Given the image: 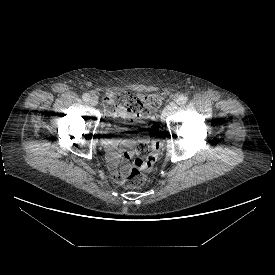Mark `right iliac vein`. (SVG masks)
I'll use <instances>...</instances> for the list:
<instances>
[{"mask_svg": "<svg viewBox=\"0 0 275 275\" xmlns=\"http://www.w3.org/2000/svg\"><path fill=\"white\" fill-rule=\"evenodd\" d=\"M89 103L92 105V106H96L98 104V99L96 97H91L89 99Z\"/></svg>", "mask_w": 275, "mask_h": 275, "instance_id": "1", "label": "right iliac vein"}]
</instances>
